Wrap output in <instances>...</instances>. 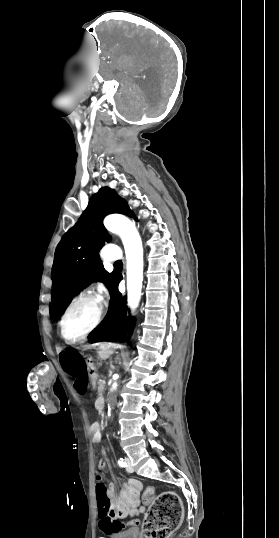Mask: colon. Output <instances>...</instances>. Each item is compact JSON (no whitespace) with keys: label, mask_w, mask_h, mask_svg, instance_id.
I'll return each mask as SVG.
<instances>
[{"label":"colon","mask_w":279,"mask_h":538,"mask_svg":"<svg viewBox=\"0 0 279 538\" xmlns=\"http://www.w3.org/2000/svg\"><path fill=\"white\" fill-rule=\"evenodd\" d=\"M95 491L99 515L112 516L114 511L108 489L100 476H97ZM145 499L151 502V506L143 524L142 538H168L181 523L183 515L181 499L172 491L154 496L152 488L146 489Z\"/></svg>","instance_id":"1"}]
</instances>
